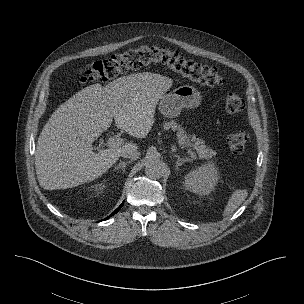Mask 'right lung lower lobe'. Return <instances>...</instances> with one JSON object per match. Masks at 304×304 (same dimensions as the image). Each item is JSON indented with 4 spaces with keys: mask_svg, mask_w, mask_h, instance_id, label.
I'll use <instances>...</instances> for the list:
<instances>
[{
    "mask_svg": "<svg viewBox=\"0 0 304 304\" xmlns=\"http://www.w3.org/2000/svg\"><path fill=\"white\" fill-rule=\"evenodd\" d=\"M123 203L107 218H105L104 220L108 219L109 217H111L112 215H114L116 212H118L120 210V208L122 207Z\"/></svg>",
    "mask_w": 304,
    "mask_h": 304,
    "instance_id": "1",
    "label": "right lung lower lobe"
}]
</instances>
